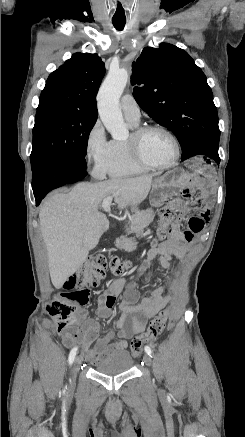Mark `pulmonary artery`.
I'll return each instance as SVG.
<instances>
[{
	"label": "pulmonary artery",
	"instance_id": "e3ab8cb5",
	"mask_svg": "<svg viewBox=\"0 0 245 437\" xmlns=\"http://www.w3.org/2000/svg\"><path fill=\"white\" fill-rule=\"evenodd\" d=\"M120 107L127 120L135 124L139 122L140 109L131 95L126 94L121 98Z\"/></svg>",
	"mask_w": 245,
	"mask_h": 437
}]
</instances>
